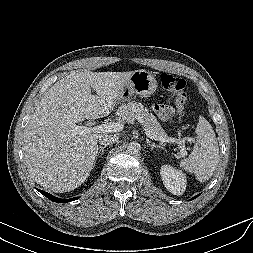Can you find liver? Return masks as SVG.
I'll return each instance as SVG.
<instances>
[{
  "label": "liver",
  "instance_id": "obj_1",
  "mask_svg": "<svg viewBox=\"0 0 253 253\" xmlns=\"http://www.w3.org/2000/svg\"><path fill=\"white\" fill-rule=\"evenodd\" d=\"M132 73L72 72L51 86L24 132L25 162L34 181L60 193L85 182L103 134H78L76 123L108 115Z\"/></svg>",
  "mask_w": 253,
  "mask_h": 253
}]
</instances>
